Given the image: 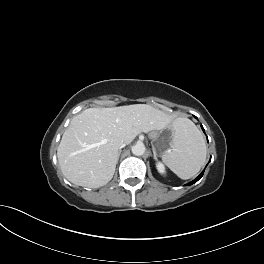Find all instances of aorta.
<instances>
[{
	"mask_svg": "<svg viewBox=\"0 0 264 264\" xmlns=\"http://www.w3.org/2000/svg\"><path fill=\"white\" fill-rule=\"evenodd\" d=\"M145 145L143 143H137L132 146V153L136 156H141L145 153Z\"/></svg>",
	"mask_w": 264,
	"mask_h": 264,
	"instance_id": "1",
	"label": "aorta"
}]
</instances>
